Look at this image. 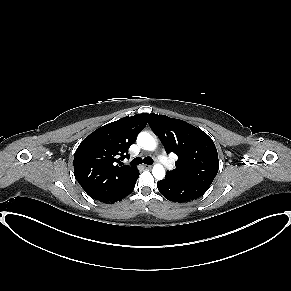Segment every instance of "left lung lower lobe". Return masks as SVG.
I'll use <instances>...</instances> for the list:
<instances>
[{
    "mask_svg": "<svg viewBox=\"0 0 291 291\" xmlns=\"http://www.w3.org/2000/svg\"><path fill=\"white\" fill-rule=\"evenodd\" d=\"M159 192L169 201L188 202L202 196L208 186L186 182L171 175H166L164 180L157 182Z\"/></svg>",
    "mask_w": 291,
    "mask_h": 291,
    "instance_id": "left-lung-lower-lobe-1",
    "label": "left lung lower lobe"
}]
</instances>
